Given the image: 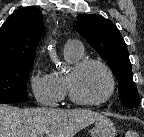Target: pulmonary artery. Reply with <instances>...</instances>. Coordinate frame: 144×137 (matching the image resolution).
Wrapping results in <instances>:
<instances>
[{"mask_svg": "<svg viewBox=\"0 0 144 137\" xmlns=\"http://www.w3.org/2000/svg\"><path fill=\"white\" fill-rule=\"evenodd\" d=\"M68 43H74V44H76L79 48H82V45H81L79 42H77V41L69 40Z\"/></svg>", "mask_w": 144, "mask_h": 137, "instance_id": "1", "label": "pulmonary artery"}]
</instances>
